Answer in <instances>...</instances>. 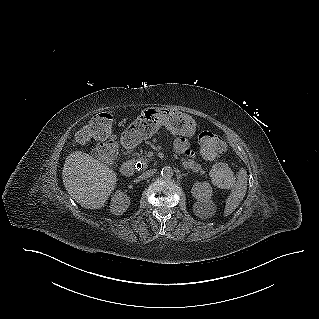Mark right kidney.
<instances>
[{"label":"right kidney","mask_w":319,"mask_h":319,"mask_svg":"<svg viewBox=\"0 0 319 319\" xmlns=\"http://www.w3.org/2000/svg\"><path fill=\"white\" fill-rule=\"evenodd\" d=\"M130 205V198L121 191H116L111 199L110 211L115 215L123 214Z\"/></svg>","instance_id":"right-kidney-1"}]
</instances>
